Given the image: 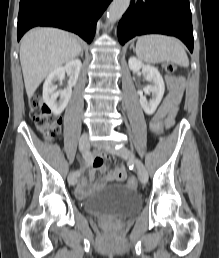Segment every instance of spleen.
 Instances as JSON below:
<instances>
[{"label": "spleen", "mask_w": 219, "mask_h": 258, "mask_svg": "<svg viewBox=\"0 0 219 258\" xmlns=\"http://www.w3.org/2000/svg\"><path fill=\"white\" fill-rule=\"evenodd\" d=\"M135 51L137 57L147 63L171 61L183 67L189 66L183 44L173 37L158 34L142 36L136 43Z\"/></svg>", "instance_id": "1"}]
</instances>
